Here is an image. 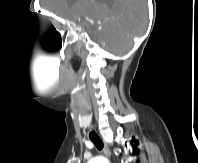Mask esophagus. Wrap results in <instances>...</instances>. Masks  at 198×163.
Returning a JSON list of instances; mask_svg holds the SVG:
<instances>
[{
  "label": "esophagus",
  "instance_id": "obj_1",
  "mask_svg": "<svg viewBox=\"0 0 198 163\" xmlns=\"http://www.w3.org/2000/svg\"><path fill=\"white\" fill-rule=\"evenodd\" d=\"M103 152H104V154H105L107 157H110V156H111L110 149H109L108 145H107L105 142H104Z\"/></svg>",
  "mask_w": 198,
  "mask_h": 163
}]
</instances>
